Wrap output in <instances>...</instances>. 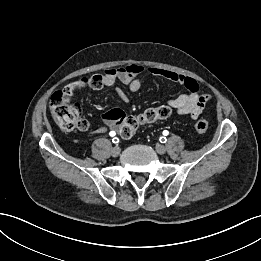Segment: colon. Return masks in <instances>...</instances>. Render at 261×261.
I'll return each instance as SVG.
<instances>
[{"label":"colon","mask_w":261,"mask_h":261,"mask_svg":"<svg viewBox=\"0 0 261 261\" xmlns=\"http://www.w3.org/2000/svg\"><path fill=\"white\" fill-rule=\"evenodd\" d=\"M85 81L80 79L53 93L50 99V110L55 122L65 131H84L89 124L81 116L79 107L70 100L71 95L84 88ZM171 109L162 105L146 109L136 116H127L118 110H112L107 117L119 126V133L124 138L134 136L140 126L166 119L170 116ZM199 133L208 129V122L205 119H198L194 125Z\"/></svg>","instance_id":"1"}]
</instances>
